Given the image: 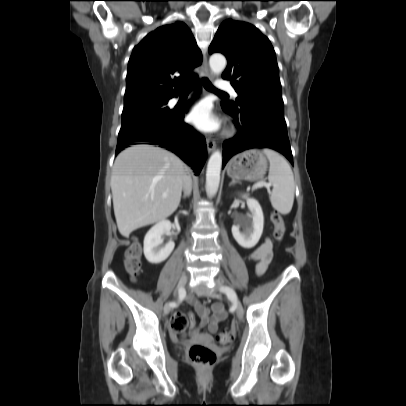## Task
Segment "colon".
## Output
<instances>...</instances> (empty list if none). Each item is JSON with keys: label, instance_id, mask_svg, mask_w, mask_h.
Wrapping results in <instances>:
<instances>
[{"label": "colon", "instance_id": "5ec220e1", "mask_svg": "<svg viewBox=\"0 0 406 406\" xmlns=\"http://www.w3.org/2000/svg\"><path fill=\"white\" fill-rule=\"evenodd\" d=\"M271 222L274 226V238L281 241L285 234V223L281 213L273 211L271 213ZM142 250L139 244L134 243L128 247L125 252L124 264L128 274L131 277L137 276L142 268L141 264ZM194 322V317L190 313L175 312L170 318V328L174 332H183ZM217 342L224 345L228 344L232 337L227 332L219 333L216 337ZM189 360L200 367H209L215 363L216 354L214 350L204 344H193L188 351Z\"/></svg>", "mask_w": 406, "mask_h": 406}]
</instances>
